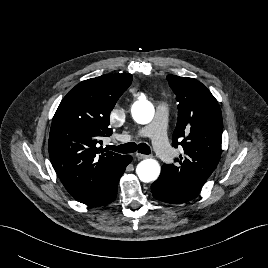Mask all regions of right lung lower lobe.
I'll list each match as a JSON object with an SVG mask.
<instances>
[{
	"instance_id": "1",
	"label": "right lung lower lobe",
	"mask_w": 268,
	"mask_h": 268,
	"mask_svg": "<svg viewBox=\"0 0 268 268\" xmlns=\"http://www.w3.org/2000/svg\"><path fill=\"white\" fill-rule=\"evenodd\" d=\"M131 161H132V156L125 155V157L120 162V164L111 173L107 183L104 185L99 195L87 205L92 206V207H97V206H103V205L113 202L117 196V186H118L119 179L124 173L126 166Z\"/></svg>"
}]
</instances>
